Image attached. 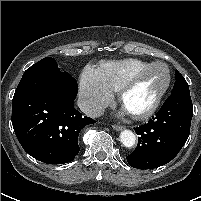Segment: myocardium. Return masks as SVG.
Returning <instances> with one entry per match:
<instances>
[{
    "mask_svg": "<svg viewBox=\"0 0 201 201\" xmlns=\"http://www.w3.org/2000/svg\"><path fill=\"white\" fill-rule=\"evenodd\" d=\"M161 65L163 66L167 71V80L162 88V90L157 94L153 102L145 109L130 113V115L137 119V120H143L151 117L160 107L165 95L170 89L171 83H172V72L170 67L161 61L153 62L147 67L143 68L142 70L135 73L133 76H131L129 79H127L121 86V88L118 91V100L123 107V102L125 99L126 94L155 66Z\"/></svg>",
    "mask_w": 201,
    "mask_h": 201,
    "instance_id": "obj_1",
    "label": "myocardium"
}]
</instances>
